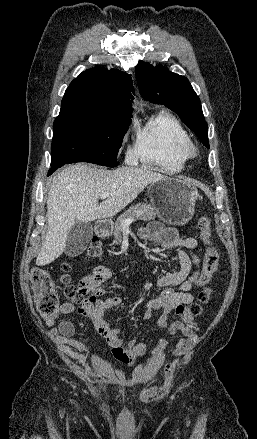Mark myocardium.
Segmentation results:
<instances>
[{
    "label": "myocardium",
    "instance_id": "obj_1",
    "mask_svg": "<svg viewBox=\"0 0 257 439\" xmlns=\"http://www.w3.org/2000/svg\"><path fill=\"white\" fill-rule=\"evenodd\" d=\"M186 152L189 157L195 156L197 154V148L191 143L186 148Z\"/></svg>",
    "mask_w": 257,
    "mask_h": 439
}]
</instances>
